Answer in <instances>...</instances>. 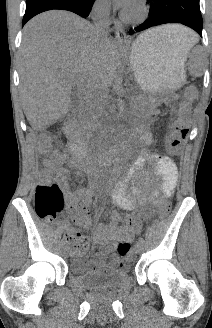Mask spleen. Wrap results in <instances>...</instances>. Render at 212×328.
<instances>
[{"label": "spleen", "instance_id": "spleen-1", "mask_svg": "<svg viewBox=\"0 0 212 328\" xmlns=\"http://www.w3.org/2000/svg\"><path fill=\"white\" fill-rule=\"evenodd\" d=\"M144 34L140 35L137 39H140ZM196 43V40H191L188 42V44L184 47L183 53H184V59L186 61L187 55L189 53V50L193 47V45Z\"/></svg>", "mask_w": 212, "mask_h": 328}]
</instances>
